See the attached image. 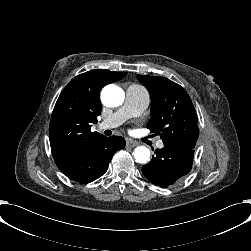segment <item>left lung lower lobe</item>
<instances>
[{
  "mask_svg": "<svg viewBox=\"0 0 251 251\" xmlns=\"http://www.w3.org/2000/svg\"><path fill=\"white\" fill-rule=\"evenodd\" d=\"M193 156L194 149L164 146L155 150L151 162L142 166V173L154 185L166 188L190 172Z\"/></svg>",
  "mask_w": 251,
  "mask_h": 251,
  "instance_id": "0a47b994",
  "label": "left lung lower lobe"
}]
</instances>
